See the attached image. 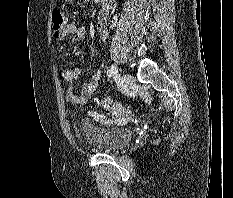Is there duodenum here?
<instances>
[{"label": "duodenum", "mask_w": 233, "mask_h": 198, "mask_svg": "<svg viewBox=\"0 0 233 198\" xmlns=\"http://www.w3.org/2000/svg\"><path fill=\"white\" fill-rule=\"evenodd\" d=\"M102 1V9L104 11L108 10L111 8L114 4V0H101Z\"/></svg>", "instance_id": "duodenum-1"}]
</instances>
